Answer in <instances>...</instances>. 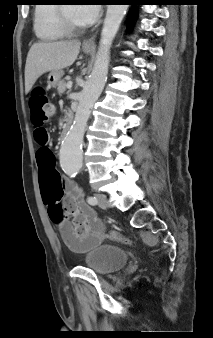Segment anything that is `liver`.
<instances>
[{
    "label": "liver",
    "mask_w": 213,
    "mask_h": 338,
    "mask_svg": "<svg viewBox=\"0 0 213 338\" xmlns=\"http://www.w3.org/2000/svg\"><path fill=\"white\" fill-rule=\"evenodd\" d=\"M81 42H38L31 46L25 65V93H29L37 79L46 72L71 66L80 51Z\"/></svg>",
    "instance_id": "6515ba94"
}]
</instances>
